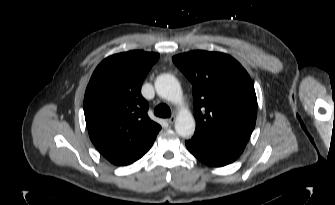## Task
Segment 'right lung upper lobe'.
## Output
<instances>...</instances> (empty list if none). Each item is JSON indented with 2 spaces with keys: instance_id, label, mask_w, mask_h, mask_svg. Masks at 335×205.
<instances>
[{
  "instance_id": "1",
  "label": "right lung upper lobe",
  "mask_w": 335,
  "mask_h": 205,
  "mask_svg": "<svg viewBox=\"0 0 335 205\" xmlns=\"http://www.w3.org/2000/svg\"><path fill=\"white\" fill-rule=\"evenodd\" d=\"M158 53L140 50L104 59L92 74L84 96L91 141L111 163L128 165L152 146L161 126L148 115L141 85Z\"/></svg>"
}]
</instances>
